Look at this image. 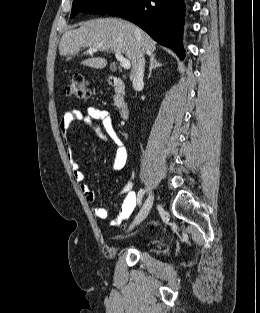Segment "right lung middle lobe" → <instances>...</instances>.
Returning <instances> with one entry per match:
<instances>
[{
  "label": "right lung middle lobe",
  "instance_id": "right-lung-middle-lobe-1",
  "mask_svg": "<svg viewBox=\"0 0 260 313\" xmlns=\"http://www.w3.org/2000/svg\"><path fill=\"white\" fill-rule=\"evenodd\" d=\"M127 0H74L71 18L79 13L106 14L118 8Z\"/></svg>",
  "mask_w": 260,
  "mask_h": 313
}]
</instances>
